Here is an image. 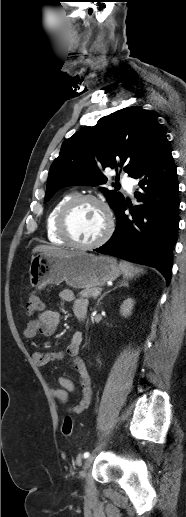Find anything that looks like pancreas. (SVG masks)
Masks as SVG:
<instances>
[{
  "label": "pancreas",
  "instance_id": "pancreas-1",
  "mask_svg": "<svg viewBox=\"0 0 186 517\" xmlns=\"http://www.w3.org/2000/svg\"><path fill=\"white\" fill-rule=\"evenodd\" d=\"M99 289L96 288V287H93V288H86L84 290H82L81 292L78 293V295L80 297H85V298H90V297H95L94 296V293L96 291H98Z\"/></svg>",
  "mask_w": 186,
  "mask_h": 517
}]
</instances>
